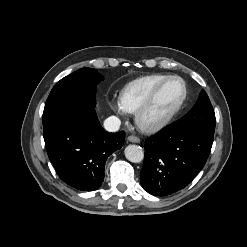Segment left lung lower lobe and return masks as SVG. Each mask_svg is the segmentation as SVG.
<instances>
[{
  "instance_id": "obj_1",
  "label": "left lung lower lobe",
  "mask_w": 247,
  "mask_h": 247,
  "mask_svg": "<svg viewBox=\"0 0 247 247\" xmlns=\"http://www.w3.org/2000/svg\"><path fill=\"white\" fill-rule=\"evenodd\" d=\"M213 137L214 133L180 129L176 122L153 135L145 144L143 189L165 196L184 188L205 165Z\"/></svg>"
}]
</instances>
